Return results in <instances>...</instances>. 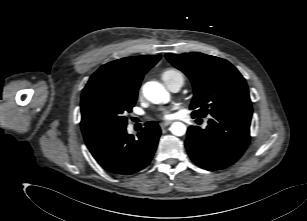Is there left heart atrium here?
Returning a JSON list of instances; mask_svg holds the SVG:
<instances>
[{"label":"left heart atrium","instance_id":"obj_1","mask_svg":"<svg viewBox=\"0 0 307 221\" xmlns=\"http://www.w3.org/2000/svg\"><path fill=\"white\" fill-rule=\"evenodd\" d=\"M159 119L168 120L172 117V109L171 108H164L159 111L157 114Z\"/></svg>","mask_w":307,"mask_h":221}]
</instances>
